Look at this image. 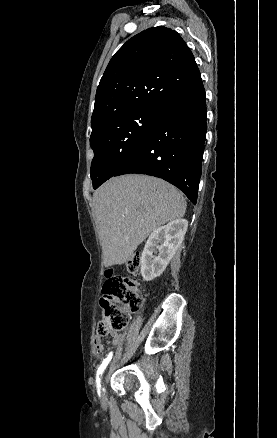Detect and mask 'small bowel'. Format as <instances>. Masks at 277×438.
<instances>
[{"mask_svg": "<svg viewBox=\"0 0 277 438\" xmlns=\"http://www.w3.org/2000/svg\"><path fill=\"white\" fill-rule=\"evenodd\" d=\"M121 340H122V338H121L120 334L113 333V334H111V336L108 339L107 343L109 345H118L121 342ZM92 344H93V346L98 347V346H100L101 341H100V339L95 338V339H93ZM101 347H102V344H101Z\"/></svg>", "mask_w": 277, "mask_h": 438, "instance_id": "obj_1", "label": "small bowel"}]
</instances>
